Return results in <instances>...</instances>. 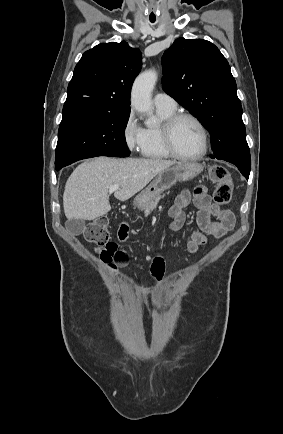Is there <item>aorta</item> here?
I'll return each instance as SVG.
<instances>
[{"mask_svg":"<svg viewBox=\"0 0 283 434\" xmlns=\"http://www.w3.org/2000/svg\"><path fill=\"white\" fill-rule=\"evenodd\" d=\"M157 72L148 70L141 73L134 81L131 91V105L139 113L152 112L151 94L157 81ZM148 127L156 124L155 117L146 122Z\"/></svg>","mask_w":283,"mask_h":434,"instance_id":"aorta-1","label":"aorta"}]
</instances>
